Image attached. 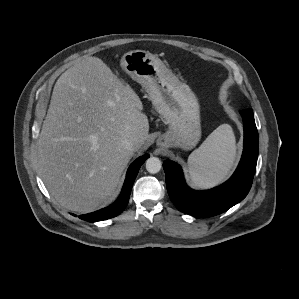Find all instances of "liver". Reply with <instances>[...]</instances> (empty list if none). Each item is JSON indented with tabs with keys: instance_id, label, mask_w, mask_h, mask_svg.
Instances as JSON below:
<instances>
[{
	"instance_id": "obj_1",
	"label": "liver",
	"mask_w": 299,
	"mask_h": 299,
	"mask_svg": "<svg viewBox=\"0 0 299 299\" xmlns=\"http://www.w3.org/2000/svg\"><path fill=\"white\" fill-rule=\"evenodd\" d=\"M135 91L97 57H84L56 81L37 141L38 172L64 208L88 213L112 196L146 142L149 122ZM135 139L134 151L121 147Z\"/></svg>"
}]
</instances>
